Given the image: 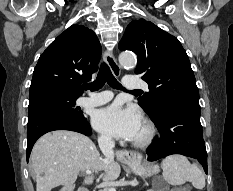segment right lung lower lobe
<instances>
[{
    "mask_svg": "<svg viewBox=\"0 0 233 191\" xmlns=\"http://www.w3.org/2000/svg\"><path fill=\"white\" fill-rule=\"evenodd\" d=\"M54 130H71L86 136L91 135V128L86 119L74 117L59 111L41 109L28 117L27 160L36 140L43 134Z\"/></svg>",
    "mask_w": 233,
    "mask_h": 191,
    "instance_id": "right-lung-lower-lobe-1",
    "label": "right lung lower lobe"
}]
</instances>
